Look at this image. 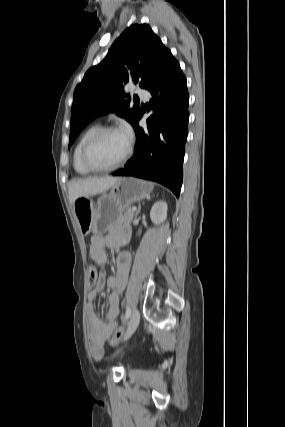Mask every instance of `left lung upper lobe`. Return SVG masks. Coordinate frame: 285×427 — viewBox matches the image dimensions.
Segmentation results:
<instances>
[{
  "label": "left lung upper lobe",
  "mask_w": 285,
  "mask_h": 427,
  "mask_svg": "<svg viewBox=\"0 0 285 427\" xmlns=\"http://www.w3.org/2000/svg\"><path fill=\"white\" fill-rule=\"evenodd\" d=\"M169 53L149 25L126 28L74 91L69 146L89 122L105 113L113 111L134 126L141 110L129 107L124 85L133 82L146 89Z\"/></svg>",
  "instance_id": "5c2ea615"
}]
</instances>
